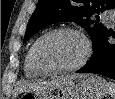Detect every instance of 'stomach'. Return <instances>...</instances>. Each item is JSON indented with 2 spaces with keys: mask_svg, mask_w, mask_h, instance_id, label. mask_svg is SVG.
Instances as JSON below:
<instances>
[{
  "mask_svg": "<svg viewBox=\"0 0 115 99\" xmlns=\"http://www.w3.org/2000/svg\"><path fill=\"white\" fill-rule=\"evenodd\" d=\"M107 92L108 84L100 76L75 74L56 85L27 91L21 99H102Z\"/></svg>",
  "mask_w": 115,
  "mask_h": 99,
  "instance_id": "obj_1",
  "label": "stomach"
}]
</instances>
